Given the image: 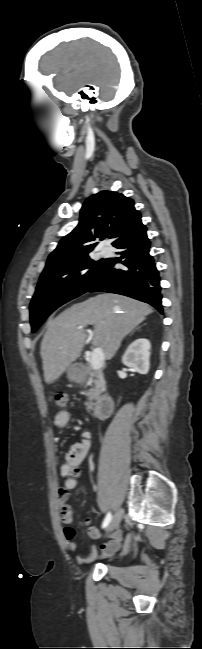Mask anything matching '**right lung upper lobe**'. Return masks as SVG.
<instances>
[{
  "mask_svg": "<svg viewBox=\"0 0 202 649\" xmlns=\"http://www.w3.org/2000/svg\"><path fill=\"white\" fill-rule=\"evenodd\" d=\"M145 228L131 198L112 191L94 194L84 202L76 228L49 255L40 278L70 271L77 259L94 249L96 239L109 236L114 246Z\"/></svg>",
  "mask_w": 202,
  "mask_h": 649,
  "instance_id": "right-lung-upper-lobe-1",
  "label": "right lung upper lobe"
}]
</instances>
